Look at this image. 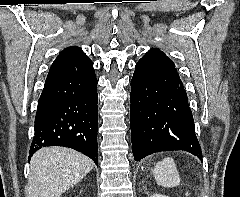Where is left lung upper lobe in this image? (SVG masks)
<instances>
[{
    "label": "left lung upper lobe",
    "instance_id": "5c2ea615",
    "mask_svg": "<svg viewBox=\"0 0 240 197\" xmlns=\"http://www.w3.org/2000/svg\"><path fill=\"white\" fill-rule=\"evenodd\" d=\"M136 66L147 70L177 71L174 63L159 49L149 50Z\"/></svg>",
    "mask_w": 240,
    "mask_h": 197
}]
</instances>
